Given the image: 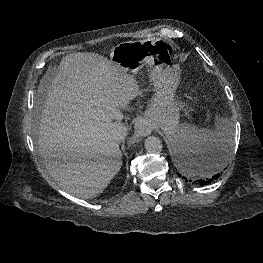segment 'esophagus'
Returning <instances> with one entry per match:
<instances>
[{
    "instance_id": "1",
    "label": "esophagus",
    "mask_w": 263,
    "mask_h": 263,
    "mask_svg": "<svg viewBox=\"0 0 263 263\" xmlns=\"http://www.w3.org/2000/svg\"><path fill=\"white\" fill-rule=\"evenodd\" d=\"M134 137L133 140L138 137L147 136L152 132V126L144 119H138L134 125Z\"/></svg>"
}]
</instances>
